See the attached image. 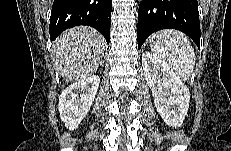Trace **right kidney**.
<instances>
[{
    "mask_svg": "<svg viewBox=\"0 0 231 151\" xmlns=\"http://www.w3.org/2000/svg\"><path fill=\"white\" fill-rule=\"evenodd\" d=\"M100 78L91 75L75 81L59 96L58 109L61 120L69 130H74L86 117L97 94Z\"/></svg>",
    "mask_w": 231,
    "mask_h": 151,
    "instance_id": "right-kidney-1",
    "label": "right kidney"
}]
</instances>
